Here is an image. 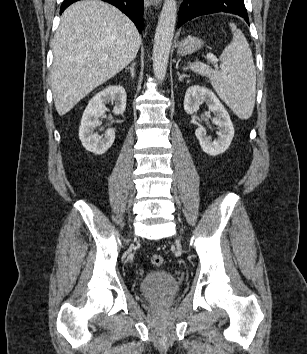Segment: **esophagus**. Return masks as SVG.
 <instances>
[{
    "label": "esophagus",
    "mask_w": 307,
    "mask_h": 354,
    "mask_svg": "<svg viewBox=\"0 0 307 354\" xmlns=\"http://www.w3.org/2000/svg\"><path fill=\"white\" fill-rule=\"evenodd\" d=\"M146 7L157 6L161 4V0H144Z\"/></svg>",
    "instance_id": "1"
}]
</instances>
